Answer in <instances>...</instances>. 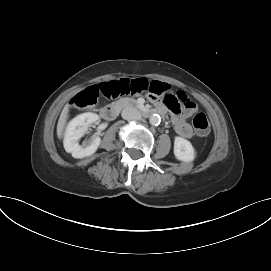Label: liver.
<instances>
[{
	"instance_id": "liver-1",
	"label": "liver",
	"mask_w": 271,
	"mask_h": 271,
	"mask_svg": "<svg viewBox=\"0 0 271 271\" xmlns=\"http://www.w3.org/2000/svg\"><path fill=\"white\" fill-rule=\"evenodd\" d=\"M69 107H70L69 104L65 105V107L62 110V113L60 115L59 121H58L57 135L59 138H62V136H63V131H64L65 124H66V121L68 118Z\"/></svg>"
}]
</instances>
